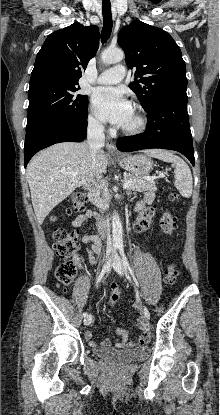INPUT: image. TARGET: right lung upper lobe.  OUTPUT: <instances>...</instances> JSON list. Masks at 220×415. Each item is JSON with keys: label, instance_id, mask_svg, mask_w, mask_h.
I'll use <instances>...</instances> for the list:
<instances>
[{"label": "right lung upper lobe", "instance_id": "cb5924a9", "mask_svg": "<svg viewBox=\"0 0 220 415\" xmlns=\"http://www.w3.org/2000/svg\"><path fill=\"white\" fill-rule=\"evenodd\" d=\"M99 47L96 26L84 27L78 22L51 33L37 54L31 79L54 78L78 82L82 70Z\"/></svg>", "mask_w": 220, "mask_h": 415}]
</instances>
